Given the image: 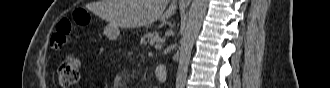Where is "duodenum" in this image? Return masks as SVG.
I'll list each match as a JSON object with an SVG mask.
<instances>
[{
  "instance_id": "1",
  "label": "duodenum",
  "mask_w": 330,
  "mask_h": 88,
  "mask_svg": "<svg viewBox=\"0 0 330 88\" xmlns=\"http://www.w3.org/2000/svg\"><path fill=\"white\" fill-rule=\"evenodd\" d=\"M158 73H157V80L164 81L166 79V67L163 65L157 66Z\"/></svg>"
}]
</instances>
